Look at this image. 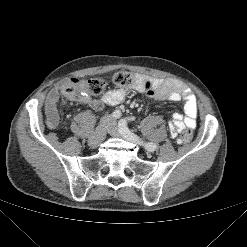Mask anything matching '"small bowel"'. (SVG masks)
I'll use <instances>...</instances> for the list:
<instances>
[{
	"mask_svg": "<svg viewBox=\"0 0 247 247\" xmlns=\"http://www.w3.org/2000/svg\"><path fill=\"white\" fill-rule=\"evenodd\" d=\"M71 85V82H66L48 93L45 103V116L48 127L55 128L58 126L60 120L57 102L60 91ZM134 87L155 100H169L173 102L182 100L184 102V113L179 111L174 112L169 123V131L173 138L185 128L193 130L196 127L198 113L196 96L180 82L173 79L139 76L138 83ZM125 96V89L117 88L108 91L100 99H92L84 93L76 101L86 104L94 110H102L106 105L114 106L119 104Z\"/></svg>",
	"mask_w": 247,
	"mask_h": 247,
	"instance_id": "1",
	"label": "small bowel"
}]
</instances>
